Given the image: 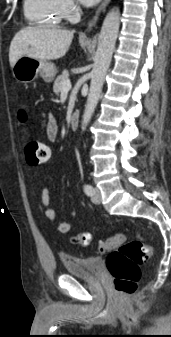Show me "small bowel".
<instances>
[{
    "instance_id": "small-bowel-1",
    "label": "small bowel",
    "mask_w": 171,
    "mask_h": 337,
    "mask_svg": "<svg viewBox=\"0 0 171 337\" xmlns=\"http://www.w3.org/2000/svg\"><path fill=\"white\" fill-rule=\"evenodd\" d=\"M45 133L50 141H55L59 135L58 123L53 115H48L45 123ZM50 157V156H49ZM41 201L44 206L45 216L51 221L56 223L57 216L55 210L50 204V190L47 187H43L41 190ZM76 212L72 211L70 214L71 220L66 222L57 223V230L60 233H67L71 230L74 219L76 218Z\"/></svg>"
}]
</instances>
